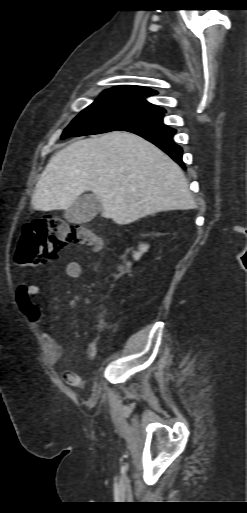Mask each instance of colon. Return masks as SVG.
<instances>
[{
  "mask_svg": "<svg viewBox=\"0 0 247 513\" xmlns=\"http://www.w3.org/2000/svg\"><path fill=\"white\" fill-rule=\"evenodd\" d=\"M72 244L100 247L101 239L90 230L58 217L35 219L23 226L14 261L19 266L42 265ZM93 348L96 351L97 344Z\"/></svg>",
  "mask_w": 247,
  "mask_h": 513,
  "instance_id": "colon-1",
  "label": "colon"
}]
</instances>
